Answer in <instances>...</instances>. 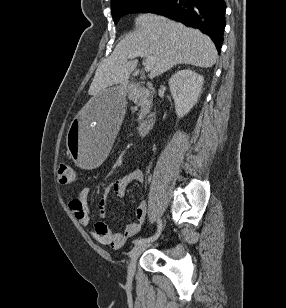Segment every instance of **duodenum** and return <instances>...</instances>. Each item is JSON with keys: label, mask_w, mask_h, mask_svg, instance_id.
Returning a JSON list of instances; mask_svg holds the SVG:
<instances>
[{"label": "duodenum", "mask_w": 286, "mask_h": 308, "mask_svg": "<svg viewBox=\"0 0 286 308\" xmlns=\"http://www.w3.org/2000/svg\"><path fill=\"white\" fill-rule=\"evenodd\" d=\"M155 120V116L151 115L149 118L143 120L140 124H139V128L138 131L141 135H145L147 133V131L149 130V128L151 127V125L153 124Z\"/></svg>", "instance_id": "obj_1"}]
</instances>
